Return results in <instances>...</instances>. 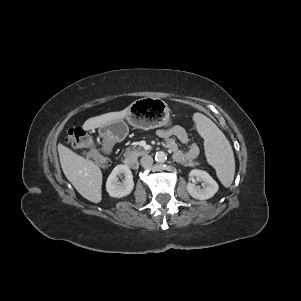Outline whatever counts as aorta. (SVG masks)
<instances>
[{
  "label": "aorta",
  "instance_id": "obj_1",
  "mask_svg": "<svg viewBox=\"0 0 301 301\" xmlns=\"http://www.w3.org/2000/svg\"><path fill=\"white\" fill-rule=\"evenodd\" d=\"M155 160L159 163H163L167 160V155L163 151H158L155 155Z\"/></svg>",
  "mask_w": 301,
  "mask_h": 301
}]
</instances>
